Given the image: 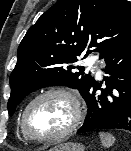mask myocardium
Wrapping results in <instances>:
<instances>
[{"instance_id":"1","label":"myocardium","mask_w":131,"mask_h":151,"mask_svg":"<svg viewBox=\"0 0 131 151\" xmlns=\"http://www.w3.org/2000/svg\"><path fill=\"white\" fill-rule=\"evenodd\" d=\"M48 96H60L68 101L72 111L71 120L68 126L65 129H63L61 132L48 137H37L31 134V132L27 127V115L31 107L36 102ZM81 119H82V107H81L80 100L76 96V94H74L71 90L65 87H51L39 92L27 103L21 116L20 126L23 135L29 141L35 143H52L62 140L63 138L70 135L79 126Z\"/></svg>"}]
</instances>
